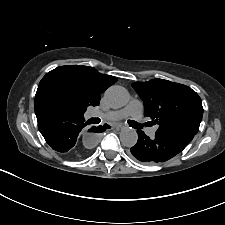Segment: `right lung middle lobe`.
Segmentation results:
<instances>
[{"label":"right lung middle lobe","instance_id":"1","mask_svg":"<svg viewBox=\"0 0 225 225\" xmlns=\"http://www.w3.org/2000/svg\"><path fill=\"white\" fill-rule=\"evenodd\" d=\"M46 100L74 113L83 114L86 109L79 105L74 99L67 96L58 89H51L45 96Z\"/></svg>","mask_w":225,"mask_h":225}]
</instances>
